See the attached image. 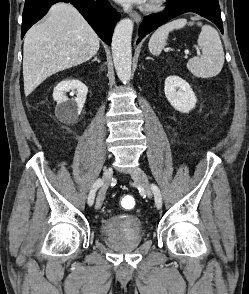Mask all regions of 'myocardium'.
Listing matches in <instances>:
<instances>
[{
  "mask_svg": "<svg viewBox=\"0 0 249 294\" xmlns=\"http://www.w3.org/2000/svg\"><path fill=\"white\" fill-rule=\"evenodd\" d=\"M167 0H149L146 9L147 10H156L160 8Z\"/></svg>",
  "mask_w": 249,
  "mask_h": 294,
  "instance_id": "f54148a6",
  "label": "myocardium"
}]
</instances>
